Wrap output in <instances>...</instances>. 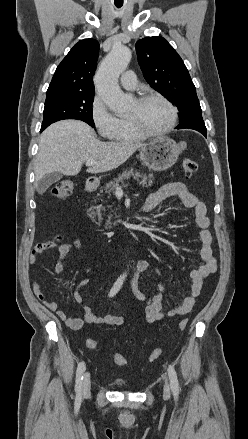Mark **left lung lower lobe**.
Listing matches in <instances>:
<instances>
[{
    "mask_svg": "<svg viewBox=\"0 0 248 439\" xmlns=\"http://www.w3.org/2000/svg\"><path fill=\"white\" fill-rule=\"evenodd\" d=\"M200 132L206 137V135H207V130L200 131Z\"/></svg>",
    "mask_w": 248,
    "mask_h": 439,
    "instance_id": "0a47b994",
    "label": "left lung lower lobe"
}]
</instances>
